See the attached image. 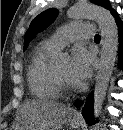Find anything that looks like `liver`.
<instances>
[{"label": "liver", "instance_id": "liver-1", "mask_svg": "<svg viewBox=\"0 0 123 130\" xmlns=\"http://www.w3.org/2000/svg\"><path fill=\"white\" fill-rule=\"evenodd\" d=\"M71 116V108L64 104L51 100H27L20 108L15 130H61Z\"/></svg>", "mask_w": 123, "mask_h": 130}]
</instances>
